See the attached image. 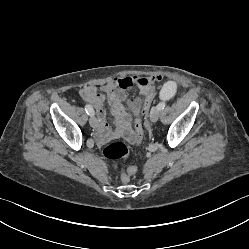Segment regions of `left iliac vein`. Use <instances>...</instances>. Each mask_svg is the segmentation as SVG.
<instances>
[{"label": "left iliac vein", "instance_id": "obj_1", "mask_svg": "<svg viewBox=\"0 0 249 249\" xmlns=\"http://www.w3.org/2000/svg\"><path fill=\"white\" fill-rule=\"evenodd\" d=\"M159 109L157 107L153 108L150 113L151 122L155 123L159 119Z\"/></svg>", "mask_w": 249, "mask_h": 249}]
</instances>
